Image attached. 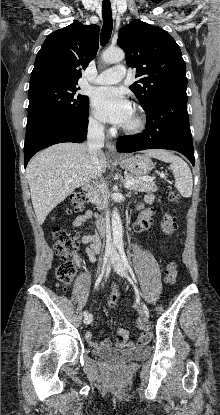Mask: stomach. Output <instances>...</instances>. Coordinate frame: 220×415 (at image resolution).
Returning <instances> with one entry per match:
<instances>
[{
	"instance_id": "1",
	"label": "stomach",
	"mask_w": 220,
	"mask_h": 415,
	"mask_svg": "<svg viewBox=\"0 0 220 415\" xmlns=\"http://www.w3.org/2000/svg\"><path fill=\"white\" fill-rule=\"evenodd\" d=\"M120 165L137 176L147 175L153 169V163L145 155L128 156L119 159Z\"/></svg>"
}]
</instances>
